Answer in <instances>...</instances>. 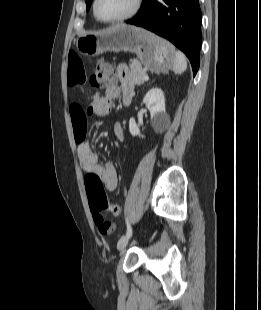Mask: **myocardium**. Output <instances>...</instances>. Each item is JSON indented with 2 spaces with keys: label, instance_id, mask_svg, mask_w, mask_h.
Returning <instances> with one entry per match:
<instances>
[{
  "label": "myocardium",
  "instance_id": "1",
  "mask_svg": "<svg viewBox=\"0 0 261 310\" xmlns=\"http://www.w3.org/2000/svg\"><path fill=\"white\" fill-rule=\"evenodd\" d=\"M142 1L143 0H134L133 7L131 8V10L128 13H126L125 15H122L120 17L113 18V19L102 18L98 14V12H97L98 0H93L92 10H93V14H94L95 18L102 23H105V24L120 23V22H124V21H127V20L133 18L139 12L141 5H142Z\"/></svg>",
  "mask_w": 261,
  "mask_h": 310
}]
</instances>
